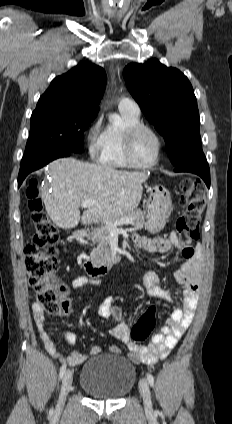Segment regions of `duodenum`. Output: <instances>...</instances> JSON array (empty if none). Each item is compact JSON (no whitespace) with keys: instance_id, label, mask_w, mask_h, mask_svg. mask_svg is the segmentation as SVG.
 I'll return each instance as SVG.
<instances>
[{"instance_id":"1","label":"duodenum","mask_w":232,"mask_h":424,"mask_svg":"<svg viewBox=\"0 0 232 424\" xmlns=\"http://www.w3.org/2000/svg\"><path fill=\"white\" fill-rule=\"evenodd\" d=\"M87 237L88 233L85 230H78L75 233V240L78 242L86 240ZM120 259L121 255L119 254L100 260L87 258L83 262V268L91 276H101L106 274Z\"/></svg>"}]
</instances>
